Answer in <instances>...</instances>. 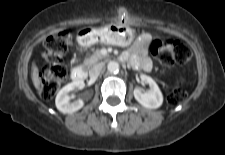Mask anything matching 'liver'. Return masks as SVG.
<instances>
[{
  "label": "liver",
  "instance_id": "liver-1",
  "mask_svg": "<svg viewBox=\"0 0 225 155\" xmlns=\"http://www.w3.org/2000/svg\"><path fill=\"white\" fill-rule=\"evenodd\" d=\"M32 81L36 89H39L40 87V79L39 74L36 66H33L32 68Z\"/></svg>",
  "mask_w": 225,
  "mask_h": 155
}]
</instances>
